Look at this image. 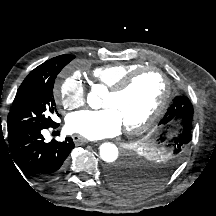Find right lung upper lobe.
<instances>
[{
    "mask_svg": "<svg viewBox=\"0 0 216 216\" xmlns=\"http://www.w3.org/2000/svg\"><path fill=\"white\" fill-rule=\"evenodd\" d=\"M61 56V55H60ZM51 60H48L46 62H44L43 64H41L40 66H38L37 68H35L24 80V82H26L28 79H30L31 77H33L34 75H37L38 73H41L45 70V68L47 67V65L50 63Z\"/></svg>",
    "mask_w": 216,
    "mask_h": 216,
    "instance_id": "right-lung-upper-lobe-1",
    "label": "right lung upper lobe"
}]
</instances>
